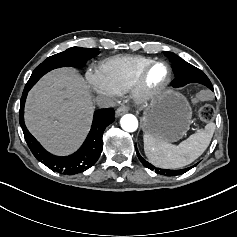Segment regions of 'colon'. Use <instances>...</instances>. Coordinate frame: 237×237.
Here are the masks:
<instances>
[{
  "mask_svg": "<svg viewBox=\"0 0 237 237\" xmlns=\"http://www.w3.org/2000/svg\"><path fill=\"white\" fill-rule=\"evenodd\" d=\"M211 97V93L207 90L200 91L194 98L195 102L207 101ZM198 117L203 122H211L215 117V109L213 106L206 104L198 109Z\"/></svg>",
  "mask_w": 237,
  "mask_h": 237,
  "instance_id": "1",
  "label": "colon"
}]
</instances>
